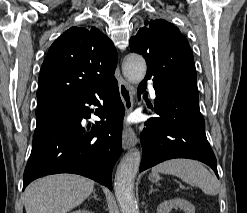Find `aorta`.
Wrapping results in <instances>:
<instances>
[{
    "mask_svg": "<svg viewBox=\"0 0 247 213\" xmlns=\"http://www.w3.org/2000/svg\"><path fill=\"white\" fill-rule=\"evenodd\" d=\"M122 71L128 81L139 84L146 75L147 65L142 56L132 53L126 56ZM140 161V151L133 149L126 154L117 168L114 190L122 213H139L134 197V180Z\"/></svg>",
    "mask_w": 247,
    "mask_h": 213,
    "instance_id": "aorta-1",
    "label": "aorta"
}]
</instances>
